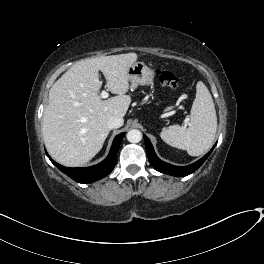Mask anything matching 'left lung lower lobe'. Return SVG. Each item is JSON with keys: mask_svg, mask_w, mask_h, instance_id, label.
Returning a JSON list of instances; mask_svg holds the SVG:
<instances>
[{"mask_svg": "<svg viewBox=\"0 0 264 264\" xmlns=\"http://www.w3.org/2000/svg\"><path fill=\"white\" fill-rule=\"evenodd\" d=\"M145 146H146V152L149 159L150 164L159 172L176 176V177H184L187 176L193 172H195L208 158L216 144L213 146V148L200 160L197 162L190 164L188 166H174L171 164H168L166 162L161 161L155 154L153 146L150 142V140L147 138L146 135H143Z\"/></svg>", "mask_w": 264, "mask_h": 264, "instance_id": "1", "label": "left lung lower lobe"}]
</instances>
